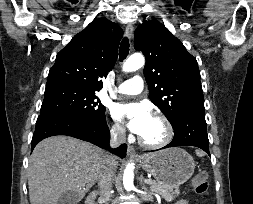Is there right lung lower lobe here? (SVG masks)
<instances>
[{
    "label": "right lung lower lobe",
    "instance_id": "obj_1",
    "mask_svg": "<svg viewBox=\"0 0 253 204\" xmlns=\"http://www.w3.org/2000/svg\"><path fill=\"white\" fill-rule=\"evenodd\" d=\"M54 135H67L102 148H109L110 132L105 119L101 123H91L83 119L61 115H40L31 142V150L43 139ZM121 158L126 156L127 145L110 149Z\"/></svg>",
    "mask_w": 253,
    "mask_h": 204
}]
</instances>
